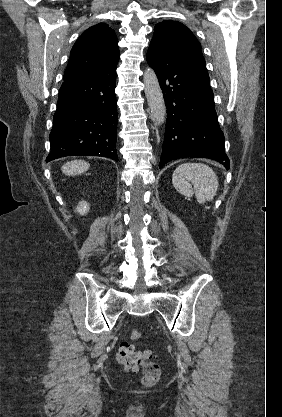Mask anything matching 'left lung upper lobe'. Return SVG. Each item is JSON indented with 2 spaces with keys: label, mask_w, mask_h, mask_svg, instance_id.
I'll return each instance as SVG.
<instances>
[{
  "label": "left lung upper lobe",
  "mask_w": 282,
  "mask_h": 417,
  "mask_svg": "<svg viewBox=\"0 0 282 417\" xmlns=\"http://www.w3.org/2000/svg\"><path fill=\"white\" fill-rule=\"evenodd\" d=\"M150 45L167 52L203 57L201 45L193 33L182 23L173 20L156 24Z\"/></svg>",
  "instance_id": "obj_1"
}]
</instances>
